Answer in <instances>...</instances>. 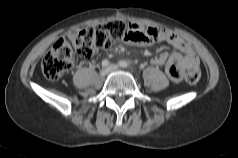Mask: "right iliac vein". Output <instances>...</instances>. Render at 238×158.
Segmentation results:
<instances>
[{
  "label": "right iliac vein",
  "mask_w": 238,
  "mask_h": 158,
  "mask_svg": "<svg viewBox=\"0 0 238 158\" xmlns=\"http://www.w3.org/2000/svg\"><path fill=\"white\" fill-rule=\"evenodd\" d=\"M108 74V69L104 68L100 71V76L105 77Z\"/></svg>",
  "instance_id": "1"
}]
</instances>
